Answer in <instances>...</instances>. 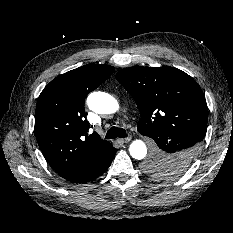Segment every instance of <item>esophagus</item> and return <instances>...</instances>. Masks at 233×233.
Returning a JSON list of instances; mask_svg holds the SVG:
<instances>
[{"instance_id": "obj_1", "label": "esophagus", "mask_w": 233, "mask_h": 233, "mask_svg": "<svg viewBox=\"0 0 233 233\" xmlns=\"http://www.w3.org/2000/svg\"><path fill=\"white\" fill-rule=\"evenodd\" d=\"M131 136H128V137H126V138H119L118 140H117V142L118 143H121V144H123V143H127V142H129L130 140H131Z\"/></svg>"}]
</instances>
